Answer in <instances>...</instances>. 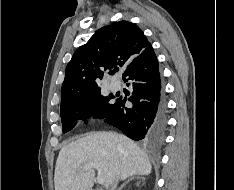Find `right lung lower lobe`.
<instances>
[{
	"mask_svg": "<svg viewBox=\"0 0 234 190\" xmlns=\"http://www.w3.org/2000/svg\"><path fill=\"white\" fill-rule=\"evenodd\" d=\"M123 79L133 88L129 98L133 106L125 107L126 98L119 97L105 122L135 141L159 143L166 126L165 103L158 61L151 45L132 60Z\"/></svg>",
	"mask_w": 234,
	"mask_h": 190,
	"instance_id": "obj_1",
	"label": "right lung lower lobe"
}]
</instances>
